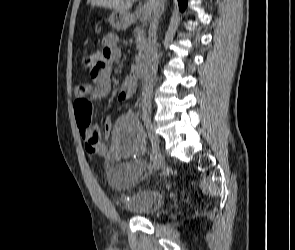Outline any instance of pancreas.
I'll return each instance as SVG.
<instances>
[{"label": "pancreas", "mask_w": 295, "mask_h": 250, "mask_svg": "<svg viewBox=\"0 0 295 250\" xmlns=\"http://www.w3.org/2000/svg\"><path fill=\"white\" fill-rule=\"evenodd\" d=\"M134 35L136 36V47L138 50V56L136 57V60L139 61L142 54L147 49V41H146V34L143 30V27L138 26L134 29Z\"/></svg>", "instance_id": "pancreas-1"}]
</instances>
